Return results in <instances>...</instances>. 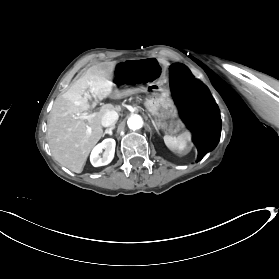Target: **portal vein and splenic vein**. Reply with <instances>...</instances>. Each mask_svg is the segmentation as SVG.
<instances>
[{
	"instance_id": "obj_1",
	"label": "portal vein and splenic vein",
	"mask_w": 279,
	"mask_h": 279,
	"mask_svg": "<svg viewBox=\"0 0 279 279\" xmlns=\"http://www.w3.org/2000/svg\"><path fill=\"white\" fill-rule=\"evenodd\" d=\"M85 97H90V95L85 93ZM91 108L93 110H96L98 108V103L96 101H93L91 103ZM93 116H94V114L87 115V114L84 113V114L80 115L78 118L79 119H84V120H90Z\"/></svg>"
}]
</instances>
